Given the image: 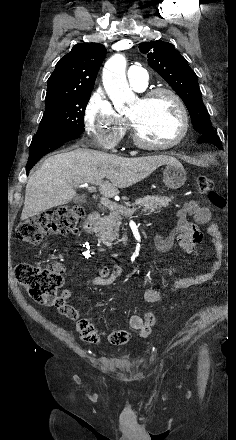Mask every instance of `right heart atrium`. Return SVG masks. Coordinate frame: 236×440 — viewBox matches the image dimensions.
Wrapping results in <instances>:
<instances>
[{"mask_svg":"<svg viewBox=\"0 0 236 440\" xmlns=\"http://www.w3.org/2000/svg\"><path fill=\"white\" fill-rule=\"evenodd\" d=\"M83 121L93 142L110 151L117 147L127 127L126 120L117 113L101 88L91 94L85 106Z\"/></svg>","mask_w":236,"mask_h":440,"instance_id":"d8ad5b80","label":"right heart atrium"}]
</instances>
